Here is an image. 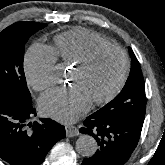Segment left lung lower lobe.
I'll list each match as a JSON object with an SVG mask.
<instances>
[{
	"mask_svg": "<svg viewBox=\"0 0 165 165\" xmlns=\"http://www.w3.org/2000/svg\"><path fill=\"white\" fill-rule=\"evenodd\" d=\"M142 126L88 116L80 132L93 136L98 149L82 165H124L138 144Z\"/></svg>",
	"mask_w": 165,
	"mask_h": 165,
	"instance_id": "1",
	"label": "left lung lower lobe"
}]
</instances>
